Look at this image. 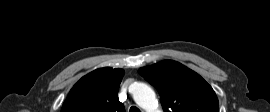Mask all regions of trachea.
<instances>
[{"label": "trachea", "instance_id": "1", "mask_svg": "<svg viewBox=\"0 0 270 112\" xmlns=\"http://www.w3.org/2000/svg\"><path fill=\"white\" fill-rule=\"evenodd\" d=\"M129 112H141L136 106H132Z\"/></svg>", "mask_w": 270, "mask_h": 112}]
</instances>
